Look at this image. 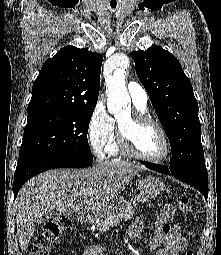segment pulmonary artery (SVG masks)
<instances>
[{"instance_id":"obj_1","label":"pulmonary artery","mask_w":221,"mask_h":255,"mask_svg":"<svg viewBox=\"0 0 221 255\" xmlns=\"http://www.w3.org/2000/svg\"><path fill=\"white\" fill-rule=\"evenodd\" d=\"M127 90L131 96L132 102L136 106L146 107L148 102V94L146 90L137 82L130 81L127 84Z\"/></svg>"}]
</instances>
